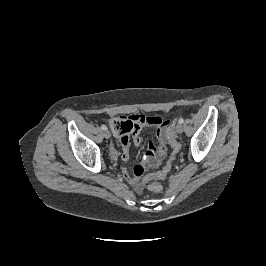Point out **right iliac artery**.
<instances>
[{
  "label": "right iliac artery",
  "mask_w": 266,
  "mask_h": 266,
  "mask_svg": "<svg viewBox=\"0 0 266 266\" xmlns=\"http://www.w3.org/2000/svg\"><path fill=\"white\" fill-rule=\"evenodd\" d=\"M102 130H107V127L105 125H101Z\"/></svg>",
  "instance_id": "82829eb1"
}]
</instances>
